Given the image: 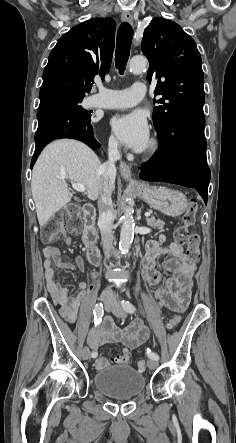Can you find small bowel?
Wrapping results in <instances>:
<instances>
[{
  "instance_id": "obj_1",
  "label": "small bowel",
  "mask_w": 236,
  "mask_h": 443,
  "mask_svg": "<svg viewBox=\"0 0 236 443\" xmlns=\"http://www.w3.org/2000/svg\"><path fill=\"white\" fill-rule=\"evenodd\" d=\"M150 241L147 244V253L143 260L142 278L146 283L152 285L161 284L154 291V298L159 308L169 311L183 312L187 309L192 288V278L196 266L183 248L171 243L168 246ZM64 243H72L69 237L64 238ZM44 271L47 289L53 297L54 302L60 307L62 315L70 322H74L80 302L86 297L90 287L83 281H77L81 290L76 296L68 295V288L63 287L55 279L56 269L72 271L79 269L95 277L93 272L86 270L81 256H77L75 264L60 258V250L57 247L48 246L43 249ZM163 259V269L157 264V259ZM173 273L174 276H170ZM149 331L144 327L141 320H136L127 330L121 331L114 325L110 316H104L100 324L96 325L89 333L88 344L93 350L107 343L121 342L130 349L139 347L147 339Z\"/></svg>"
}]
</instances>
